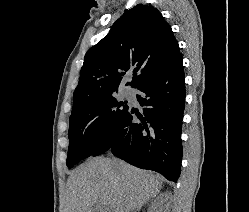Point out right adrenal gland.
Instances as JSON below:
<instances>
[{
    "label": "right adrenal gland",
    "instance_id": "1",
    "mask_svg": "<svg viewBox=\"0 0 249 212\" xmlns=\"http://www.w3.org/2000/svg\"><path fill=\"white\" fill-rule=\"evenodd\" d=\"M141 208H137L136 212H140Z\"/></svg>",
    "mask_w": 249,
    "mask_h": 212
}]
</instances>
